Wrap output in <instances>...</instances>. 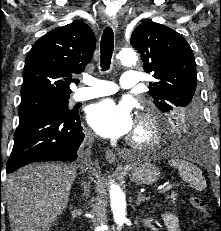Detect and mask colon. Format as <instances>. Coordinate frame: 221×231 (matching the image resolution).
I'll return each mask as SVG.
<instances>
[{
	"mask_svg": "<svg viewBox=\"0 0 221 231\" xmlns=\"http://www.w3.org/2000/svg\"><path fill=\"white\" fill-rule=\"evenodd\" d=\"M190 203L191 205L198 210L205 218L209 217V212L207 209V206L205 204V202L203 201V199H201L200 197H191L190 198Z\"/></svg>",
	"mask_w": 221,
	"mask_h": 231,
	"instance_id": "1",
	"label": "colon"
}]
</instances>
